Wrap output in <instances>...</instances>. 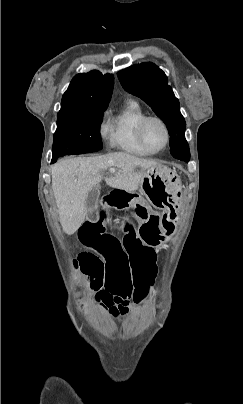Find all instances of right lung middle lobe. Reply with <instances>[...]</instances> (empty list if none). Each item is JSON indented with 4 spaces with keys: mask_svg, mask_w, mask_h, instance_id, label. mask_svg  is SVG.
<instances>
[{
    "mask_svg": "<svg viewBox=\"0 0 243 404\" xmlns=\"http://www.w3.org/2000/svg\"><path fill=\"white\" fill-rule=\"evenodd\" d=\"M106 109L107 107L59 111L52 148V163L64 155L101 150L100 124Z\"/></svg>",
    "mask_w": 243,
    "mask_h": 404,
    "instance_id": "right-lung-middle-lobe-1",
    "label": "right lung middle lobe"
}]
</instances>
